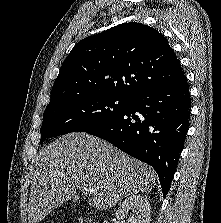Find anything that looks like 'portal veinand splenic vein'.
Returning a JSON list of instances; mask_svg holds the SVG:
<instances>
[{
    "mask_svg": "<svg viewBox=\"0 0 221 223\" xmlns=\"http://www.w3.org/2000/svg\"><path fill=\"white\" fill-rule=\"evenodd\" d=\"M80 188L84 191H89L90 190V188L85 183H81Z\"/></svg>",
    "mask_w": 221,
    "mask_h": 223,
    "instance_id": "obj_1",
    "label": "portal vein and splenic vein"
}]
</instances>
